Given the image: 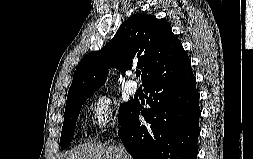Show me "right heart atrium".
<instances>
[{"label":"right heart atrium","instance_id":"d8ad5b80","mask_svg":"<svg viewBox=\"0 0 253 159\" xmlns=\"http://www.w3.org/2000/svg\"><path fill=\"white\" fill-rule=\"evenodd\" d=\"M92 120L100 134L111 132L118 124L113 100L106 94L97 95L89 105Z\"/></svg>","mask_w":253,"mask_h":159}]
</instances>
